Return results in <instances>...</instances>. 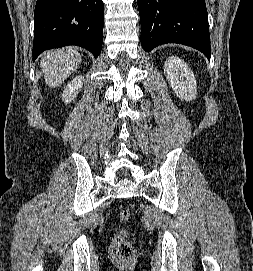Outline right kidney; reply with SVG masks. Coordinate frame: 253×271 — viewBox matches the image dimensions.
Returning <instances> with one entry per match:
<instances>
[{
	"instance_id": "ca27d5eb",
	"label": "right kidney",
	"mask_w": 253,
	"mask_h": 271,
	"mask_svg": "<svg viewBox=\"0 0 253 271\" xmlns=\"http://www.w3.org/2000/svg\"><path fill=\"white\" fill-rule=\"evenodd\" d=\"M83 81L82 76H77L66 86L62 94V100L65 103H70L76 98L83 86Z\"/></svg>"
}]
</instances>
